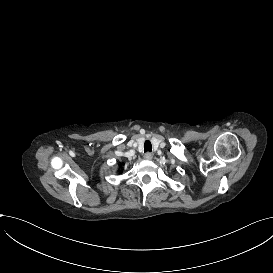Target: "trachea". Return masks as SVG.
<instances>
[{"label":"trachea","mask_w":273,"mask_h":273,"mask_svg":"<svg viewBox=\"0 0 273 273\" xmlns=\"http://www.w3.org/2000/svg\"><path fill=\"white\" fill-rule=\"evenodd\" d=\"M144 148H145V152H151L152 151L151 142L150 141H145Z\"/></svg>","instance_id":"3493384b"}]
</instances>
